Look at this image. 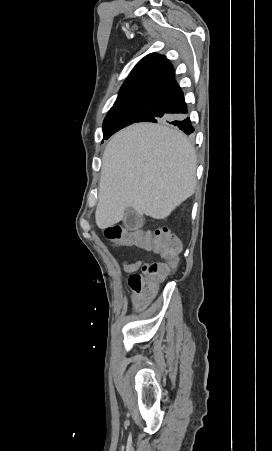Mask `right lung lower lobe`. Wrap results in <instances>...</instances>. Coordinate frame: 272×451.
Returning a JSON list of instances; mask_svg holds the SVG:
<instances>
[{
	"label": "right lung lower lobe",
	"mask_w": 272,
	"mask_h": 451,
	"mask_svg": "<svg viewBox=\"0 0 272 451\" xmlns=\"http://www.w3.org/2000/svg\"><path fill=\"white\" fill-rule=\"evenodd\" d=\"M188 113L183 92L174 79L151 98L148 111L136 122H167L189 135L194 128Z\"/></svg>",
	"instance_id": "obj_1"
}]
</instances>
